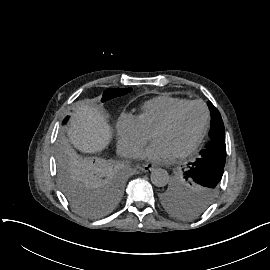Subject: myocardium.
I'll return each mask as SVG.
<instances>
[{
    "label": "myocardium",
    "mask_w": 270,
    "mask_h": 270,
    "mask_svg": "<svg viewBox=\"0 0 270 270\" xmlns=\"http://www.w3.org/2000/svg\"><path fill=\"white\" fill-rule=\"evenodd\" d=\"M192 106H200L203 111H204V121H203V125L200 131L199 136L197 137V139L192 143L191 146H189L186 150H184L183 152H181L180 154L177 155L178 158H185L187 156H189L190 154H192L194 151H196L198 149V147L201 145L208 126H209V121H210V114H209V110L207 108V106L205 105L204 102L199 101V100H194V101H189L187 104H185L184 106H182L181 108H179L178 110H176L168 119H166L165 121L161 122L160 124H158L152 131L155 132L157 130L160 129H164V128H170L172 126H174L177 121L179 120V118L181 117V115L190 107Z\"/></svg>",
    "instance_id": "1"
}]
</instances>
